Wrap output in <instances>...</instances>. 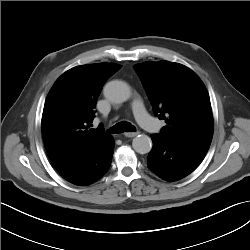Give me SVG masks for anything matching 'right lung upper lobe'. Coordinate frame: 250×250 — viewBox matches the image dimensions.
I'll use <instances>...</instances> for the list:
<instances>
[{
	"mask_svg": "<svg viewBox=\"0 0 250 250\" xmlns=\"http://www.w3.org/2000/svg\"><path fill=\"white\" fill-rule=\"evenodd\" d=\"M120 68L115 63L77 66L62 74L51 88L41 127L46 151L57 171L89 155L111 137L102 127L93 130L90 126L104 83Z\"/></svg>",
	"mask_w": 250,
	"mask_h": 250,
	"instance_id": "obj_1",
	"label": "right lung upper lobe"
}]
</instances>
